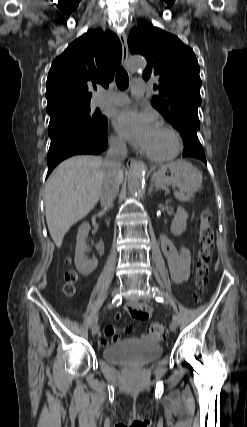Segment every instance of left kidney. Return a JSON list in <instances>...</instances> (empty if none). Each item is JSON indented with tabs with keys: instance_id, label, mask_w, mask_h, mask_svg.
I'll return each instance as SVG.
<instances>
[{
	"instance_id": "obj_1",
	"label": "left kidney",
	"mask_w": 247,
	"mask_h": 427,
	"mask_svg": "<svg viewBox=\"0 0 247 427\" xmlns=\"http://www.w3.org/2000/svg\"><path fill=\"white\" fill-rule=\"evenodd\" d=\"M187 218V212L179 206L170 227L173 235L179 236L186 230Z\"/></svg>"
}]
</instances>
